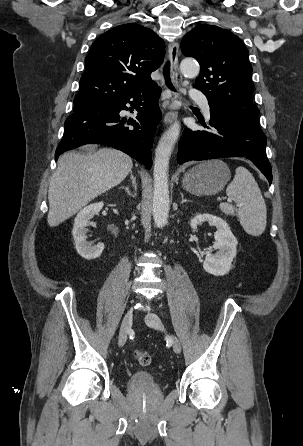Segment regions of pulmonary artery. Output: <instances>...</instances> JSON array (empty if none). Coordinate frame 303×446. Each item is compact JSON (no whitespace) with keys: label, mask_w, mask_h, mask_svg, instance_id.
I'll return each mask as SVG.
<instances>
[{"label":"pulmonary artery","mask_w":303,"mask_h":446,"mask_svg":"<svg viewBox=\"0 0 303 446\" xmlns=\"http://www.w3.org/2000/svg\"><path fill=\"white\" fill-rule=\"evenodd\" d=\"M190 96L192 99H194L195 101L200 103L204 113L206 114V116L209 117L210 116V106H209L206 96L198 90H192L190 93Z\"/></svg>","instance_id":"pulmonary-artery-1"}]
</instances>
